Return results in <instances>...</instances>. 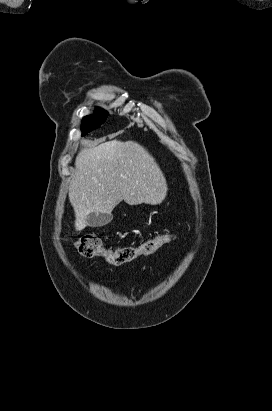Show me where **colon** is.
Masks as SVG:
<instances>
[{
	"label": "colon",
	"mask_w": 272,
	"mask_h": 411,
	"mask_svg": "<svg viewBox=\"0 0 272 411\" xmlns=\"http://www.w3.org/2000/svg\"><path fill=\"white\" fill-rule=\"evenodd\" d=\"M171 241L172 236L164 234L146 240L136 246L108 249L103 246L102 240L98 236L86 234L81 236L74 245L78 253L84 257L101 256L107 263L119 266L139 256L151 254Z\"/></svg>",
	"instance_id": "obj_1"
}]
</instances>
